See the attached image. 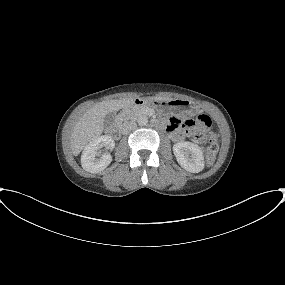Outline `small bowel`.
Masks as SVG:
<instances>
[{
	"label": "small bowel",
	"mask_w": 285,
	"mask_h": 285,
	"mask_svg": "<svg viewBox=\"0 0 285 285\" xmlns=\"http://www.w3.org/2000/svg\"><path fill=\"white\" fill-rule=\"evenodd\" d=\"M168 131H170L172 138L176 141L182 140L185 136L184 132L177 126L175 120L170 121Z\"/></svg>",
	"instance_id": "1"
}]
</instances>
